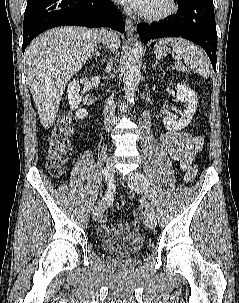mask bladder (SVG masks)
I'll list each match as a JSON object with an SVG mask.
<instances>
[{
	"label": "bladder",
	"mask_w": 239,
	"mask_h": 303,
	"mask_svg": "<svg viewBox=\"0 0 239 303\" xmlns=\"http://www.w3.org/2000/svg\"><path fill=\"white\" fill-rule=\"evenodd\" d=\"M143 240L139 233H126L118 237L103 240L101 248L109 255H133L142 249Z\"/></svg>",
	"instance_id": "31cf9c89"
}]
</instances>
